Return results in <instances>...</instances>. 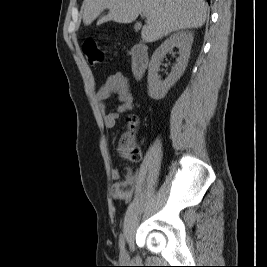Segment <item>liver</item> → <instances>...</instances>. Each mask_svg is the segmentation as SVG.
Segmentation results:
<instances>
[{
  "label": "liver",
  "instance_id": "1",
  "mask_svg": "<svg viewBox=\"0 0 267 267\" xmlns=\"http://www.w3.org/2000/svg\"><path fill=\"white\" fill-rule=\"evenodd\" d=\"M104 9L109 13L100 17L98 24L111 20L131 23L144 13L147 21L141 37L146 42H154L175 31L202 27L208 5L204 0H84V25H90Z\"/></svg>",
  "mask_w": 267,
  "mask_h": 267
}]
</instances>
